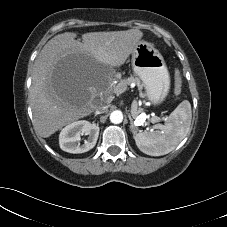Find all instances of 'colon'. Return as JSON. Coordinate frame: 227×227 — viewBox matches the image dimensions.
<instances>
[{"instance_id":"obj_1","label":"colon","mask_w":227,"mask_h":227,"mask_svg":"<svg viewBox=\"0 0 227 227\" xmlns=\"http://www.w3.org/2000/svg\"><path fill=\"white\" fill-rule=\"evenodd\" d=\"M182 87V80L179 74L176 75V82H175V91L176 93H180Z\"/></svg>"}]
</instances>
